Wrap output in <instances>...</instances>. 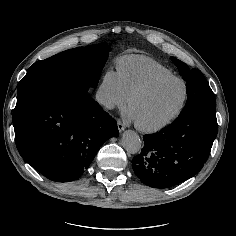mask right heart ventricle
I'll return each mask as SVG.
<instances>
[{
	"label": "right heart ventricle",
	"instance_id": "right-heart-ventricle-1",
	"mask_svg": "<svg viewBox=\"0 0 236 236\" xmlns=\"http://www.w3.org/2000/svg\"><path fill=\"white\" fill-rule=\"evenodd\" d=\"M116 67L129 96L157 77L174 75L171 69L146 55L121 56L116 61Z\"/></svg>",
	"mask_w": 236,
	"mask_h": 236
}]
</instances>
